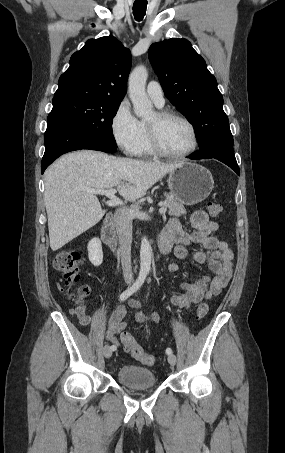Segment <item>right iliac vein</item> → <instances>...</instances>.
Segmentation results:
<instances>
[{"instance_id":"63e3f726","label":"right iliac vein","mask_w":285,"mask_h":453,"mask_svg":"<svg viewBox=\"0 0 285 453\" xmlns=\"http://www.w3.org/2000/svg\"><path fill=\"white\" fill-rule=\"evenodd\" d=\"M103 355L105 358H110L111 355H112V349L109 345H106L104 348H103Z\"/></svg>"}]
</instances>
